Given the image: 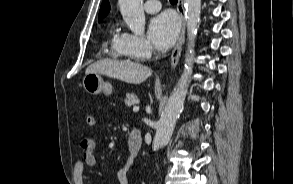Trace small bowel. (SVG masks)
Segmentation results:
<instances>
[{"label":"small bowel","instance_id":"obj_1","mask_svg":"<svg viewBox=\"0 0 293 184\" xmlns=\"http://www.w3.org/2000/svg\"><path fill=\"white\" fill-rule=\"evenodd\" d=\"M97 135L84 138L80 143L81 157L73 166V180L75 184H84V173L87 168H95L97 160L94 155ZM134 162V158L128 156L123 167L118 171L117 178L120 184H129L128 173Z\"/></svg>","mask_w":293,"mask_h":184}]
</instances>
